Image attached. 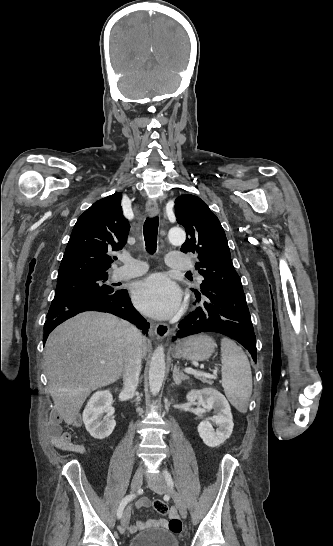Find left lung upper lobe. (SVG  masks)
<instances>
[{
  "mask_svg": "<svg viewBox=\"0 0 333 546\" xmlns=\"http://www.w3.org/2000/svg\"><path fill=\"white\" fill-rule=\"evenodd\" d=\"M175 214L177 222L187 233L181 251L197 256L195 267L204 278L200 292L243 293L241 279L232 265L225 232L205 202L191 194L181 195L175 200Z\"/></svg>",
  "mask_w": 333,
  "mask_h": 546,
  "instance_id": "1",
  "label": "left lung upper lobe"
}]
</instances>
